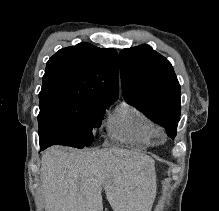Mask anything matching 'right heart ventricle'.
<instances>
[{
  "instance_id": "1",
  "label": "right heart ventricle",
  "mask_w": 219,
  "mask_h": 211,
  "mask_svg": "<svg viewBox=\"0 0 219 211\" xmlns=\"http://www.w3.org/2000/svg\"><path fill=\"white\" fill-rule=\"evenodd\" d=\"M112 137L123 142L153 144L160 137L159 127L137 107L123 103L108 120Z\"/></svg>"
}]
</instances>
